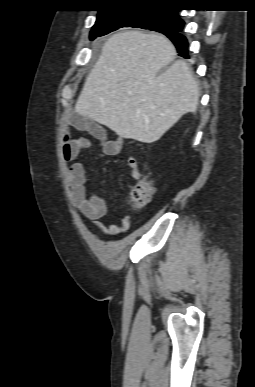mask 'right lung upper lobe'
I'll use <instances>...</instances> for the list:
<instances>
[{"label": "right lung upper lobe", "instance_id": "right-lung-upper-lobe-1", "mask_svg": "<svg viewBox=\"0 0 255 387\" xmlns=\"http://www.w3.org/2000/svg\"><path fill=\"white\" fill-rule=\"evenodd\" d=\"M106 1H108V4L104 9H100L99 13L124 12V11L134 10L138 8L147 9V11H153L155 9L169 7L168 4H171L170 1L172 0H106ZM172 11L177 12L175 10H172Z\"/></svg>", "mask_w": 255, "mask_h": 387}]
</instances>
